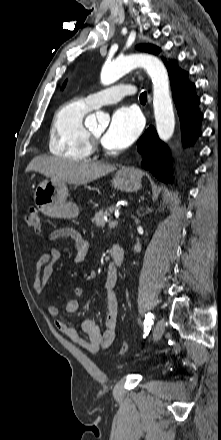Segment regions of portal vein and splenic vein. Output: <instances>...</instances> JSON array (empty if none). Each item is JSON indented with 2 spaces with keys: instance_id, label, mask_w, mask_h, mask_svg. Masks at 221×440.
Instances as JSON below:
<instances>
[{
  "instance_id": "obj_1",
  "label": "portal vein and splenic vein",
  "mask_w": 221,
  "mask_h": 440,
  "mask_svg": "<svg viewBox=\"0 0 221 440\" xmlns=\"http://www.w3.org/2000/svg\"><path fill=\"white\" fill-rule=\"evenodd\" d=\"M117 224H118V221H116V220H112V221H109L108 226H109L110 228H113V227L117 226Z\"/></svg>"
}]
</instances>
